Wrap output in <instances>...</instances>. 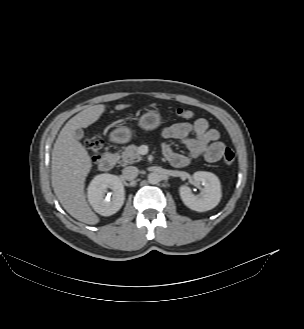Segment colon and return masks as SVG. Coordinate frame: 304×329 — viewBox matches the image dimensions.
<instances>
[{"instance_id":"5ec220e1","label":"colon","mask_w":304,"mask_h":329,"mask_svg":"<svg viewBox=\"0 0 304 329\" xmlns=\"http://www.w3.org/2000/svg\"><path fill=\"white\" fill-rule=\"evenodd\" d=\"M176 114L180 120H190L195 117L194 111L185 108H179L176 111ZM86 145L91 152L93 161H96L99 158V152L102 148L101 139L94 133H88L86 135ZM235 160L234 151L226 147L223 150V161L227 165H231Z\"/></svg>"}]
</instances>
